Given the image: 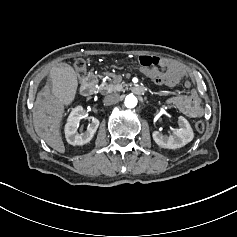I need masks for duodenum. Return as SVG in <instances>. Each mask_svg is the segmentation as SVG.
Returning a JSON list of instances; mask_svg holds the SVG:
<instances>
[{"label":"duodenum","instance_id":"410a0bca","mask_svg":"<svg viewBox=\"0 0 237 237\" xmlns=\"http://www.w3.org/2000/svg\"><path fill=\"white\" fill-rule=\"evenodd\" d=\"M96 89V77L93 73H89L81 83V93L84 96H90L95 92ZM143 87L141 86H136L135 91L138 93L143 92Z\"/></svg>","mask_w":237,"mask_h":237}]
</instances>
